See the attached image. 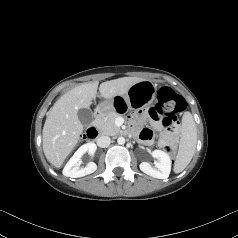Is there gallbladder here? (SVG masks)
Here are the masks:
<instances>
[{"instance_id": "1", "label": "gallbladder", "mask_w": 238, "mask_h": 238, "mask_svg": "<svg viewBox=\"0 0 238 238\" xmlns=\"http://www.w3.org/2000/svg\"><path fill=\"white\" fill-rule=\"evenodd\" d=\"M78 118L83 126H88L93 121V115L88 109H79L78 110Z\"/></svg>"}]
</instances>
